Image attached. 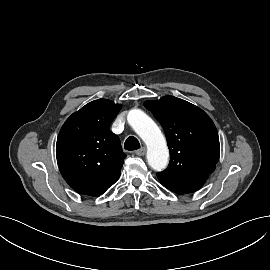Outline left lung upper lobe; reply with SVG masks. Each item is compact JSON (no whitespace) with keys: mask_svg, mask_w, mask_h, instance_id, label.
<instances>
[{"mask_svg":"<svg viewBox=\"0 0 270 270\" xmlns=\"http://www.w3.org/2000/svg\"><path fill=\"white\" fill-rule=\"evenodd\" d=\"M144 106L162 125L170 151L169 166L157 173L159 180L178 194L199 190L219 160L213 121L197 106L173 96L146 101Z\"/></svg>","mask_w":270,"mask_h":270,"instance_id":"5c2ea615","label":"left lung upper lobe"}]
</instances>
